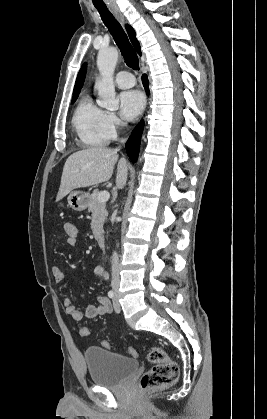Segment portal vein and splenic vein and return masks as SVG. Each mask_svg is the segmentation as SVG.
<instances>
[{
  "mask_svg": "<svg viewBox=\"0 0 267 419\" xmlns=\"http://www.w3.org/2000/svg\"><path fill=\"white\" fill-rule=\"evenodd\" d=\"M109 198H110V194H109V192H108V191H102V192H100V193H99V195H98V200H99L100 202H106V201H108V200H109Z\"/></svg>",
  "mask_w": 267,
  "mask_h": 419,
  "instance_id": "18ae733b",
  "label": "portal vein and splenic vein"
}]
</instances>
